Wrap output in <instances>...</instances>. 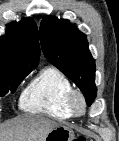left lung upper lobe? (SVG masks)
<instances>
[{"label":"left lung upper lobe","instance_id":"left-lung-upper-lobe-1","mask_svg":"<svg viewBox=\"0 0 119 141\" xmlns=\"http://www.w3.org/2000/svg\"><path fill=\"white\" fill-rule=\"evenodd\" d=\"M40 41L48 61L74 81L90 106L97 88L95 60L88 49L86 35L66 19L46 16L40 25Z\"/></svg>","mask_w":119,"mask_h":141}]
</instances>
